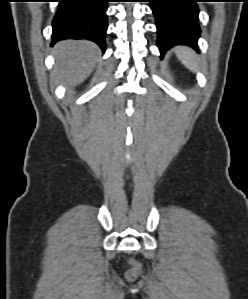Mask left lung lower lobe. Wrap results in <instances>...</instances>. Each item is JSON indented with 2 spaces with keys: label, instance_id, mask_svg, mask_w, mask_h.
<instances>
[{
  "label": "left lung lower lobe",
  "instance_id": "1",
  "mask_svg": "<svg viewBox=\"0 0 248 299\" xmlns=\"http://www.w3.org/2000/svg\"><path fill=\"white\" fill-rule=\"evenodd\" d=\"M156 18L157 45L163 55L175 45H188L198 51L199 0H149Z\"/></svg>",
  "mask_w": 248,
  "mask_h": 299
}]
</instances>
